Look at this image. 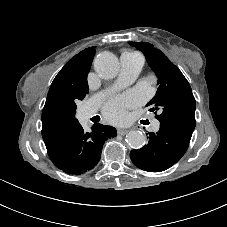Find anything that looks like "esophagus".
I'll list each match as a JSON object with an SVG mask.
<instances>
[{
    "mask_svg": "<svg viewBox=\"0 0 227 227\" xmlns=\"http://www.w3.org/2000/svg\"><path fill=\"white\" fill-rule=\"evenodd\" d=\"M128 132V129H121L119 128L117 130L118 135H125Z\"/></svg>",
    "mask_w": 227,
    "mask_h": 227,
    "instance_id": "34e87169",
    "label": "esophagus"
}]
</instances>
